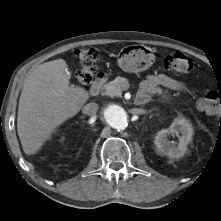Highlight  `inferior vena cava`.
<instances>
[{"label": "inferior vena cava", "instance_id": "602c4592", "mask_svg": "<svg viewBox=\"0 0 221 221\" xmlns=\"http://www.w3.org/2000/svg\"><path fill=\"white\" fill-rule=\"evenodd\" d=\"M98 104L97 103H88L86 104L83 109H82V113L88 116H94L96 114V112L98 111Z\"/></svg>", "mask_w": 221, "mask_h": 221}]
</instances>
